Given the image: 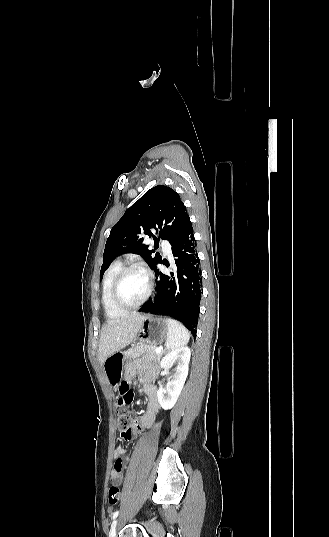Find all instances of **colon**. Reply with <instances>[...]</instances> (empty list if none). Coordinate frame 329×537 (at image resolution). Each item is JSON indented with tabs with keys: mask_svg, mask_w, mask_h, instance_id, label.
Here are the masks:
<instances>
[{
	"mask_svg": "<svg viewBox=\"0 0 329 537\" xmlns=\"http://www.w3.org/2000/svg\"><path fill=\"white\" fill-rule=\"evenodd\" d=\"M135 421H136V417L131 411H128L125 409L121 410L117 418L118 431L120 433L122 431H125L126 433H128L130 429L133 427V425L135 424ZM120 497H121V492H120L119 487L115 485L111 486L108 491V500L110 504H117L120 500Z\"/></svg>",
	"mask_w": 329,
	"mask_h": 537,
	"instance_id": "5ec220e1",
	"label": "colon"
}]
</instances>
